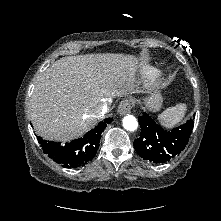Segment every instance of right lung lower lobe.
Here are the masks:
<instances>
[{"mask_svg":"<svg viewBox=\"0 0 221 221\" xmlns=\"http://www.w3.org/2000/svg\"><path fill=\"white\" fill-rule=\"evenodd\" d=\"M112 118L100 122L95 129L70 143L61 146L60 143L46 141L38 137L42 150L49 158L65 168H77L89 163L95 156L101 138L107 124L112 122Z\"/></svg>","mask_w":221,"mask_h":221,"instance_id":"right-lung-lower-lobe-1","label":"right lung lower lobe"}]
</instances>
